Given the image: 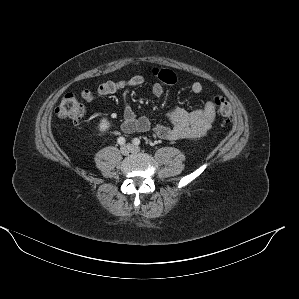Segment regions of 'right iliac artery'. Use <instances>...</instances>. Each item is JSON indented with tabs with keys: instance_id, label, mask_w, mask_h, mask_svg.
Returning <instances> with one entry per match:
<instances>
[{
	"instance_id": "obj_1",
	"label": "right iliac artery",
	"mask_w": 299,
	"mask_h": 299,
	"mask_svg": "<svg viewBox=\"0 0 299 299\" xmlns=\"http://www.w3.org/2000/svg\"><path fill=\"white\" fill-rule=\"evenodd\" d=\"M117 142H118V144L123 145V144H125L126 140H125L124 137H119V138L117 139Z\"/></svg>"
}]
</instances>
